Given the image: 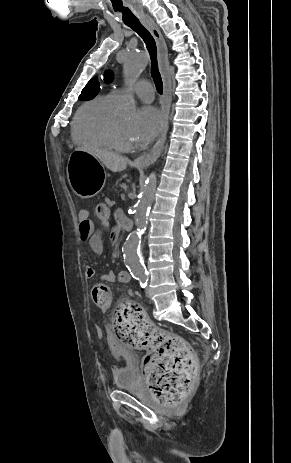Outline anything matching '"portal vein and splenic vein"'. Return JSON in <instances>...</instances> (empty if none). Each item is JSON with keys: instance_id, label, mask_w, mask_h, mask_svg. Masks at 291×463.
I'll return each mask as SVG.
<instances>
[{"instance_id": "18ae733b", "label": "portal vein and splenic vein", "mask_w": 291, "mask_h": 463, "mask_svg": "<svg viewBox=\"0 0 291 463\" xmlns=\"http://www.w3.org/2000/svg\"><path fill=\"white\" fill-rule=\"evenodd\" d=\"M121 198L124 199V198H125V194H121Z\"/></svg>"}]
</instances>
